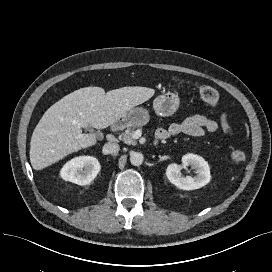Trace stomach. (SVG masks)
Here are the masks:
<instances>
[{
  "mask_svg": "<svg viewBox=\"0 0 272 272\" xmlns=\"http://www.w3.org/2000/svg\"><path fill=\"white\" fill-rule=\"evenodd\" d=\"M180 105V99L175 92H163L153 100V109L158 116L167 117L173 115ZM148 110L143 107L130 109L120 119L124 126H143L149 122Z\"/></svg>",
  "mask_w": 272,
  "mask_h": 272,
  "instance_id": "stomach-1",
  "label": "stomach"
}]
</instances>
